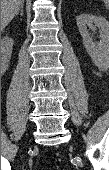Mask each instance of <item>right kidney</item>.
<instances>
[{
	"label": "right kidney",
	"mask_w": 109,
	"mask_h": 170,
	"mask_svg": "<svg viewBox=\"0 0 109 170\" xmlns=\"http://www.w3.org/2000/svg\"><path fill=\"white\" fill-rule=\"evenodd\" d=\"M14 41L10 37L1 40V70L5 72L9 67Z\"/></svg>",
	"instance_id": "1"
}]
</instances>
